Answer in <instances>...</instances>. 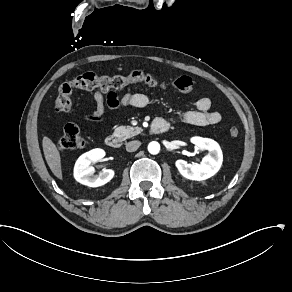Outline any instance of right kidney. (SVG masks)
Returning a JSON list of instances; mask_svg holds the SVG:
<instances>
[{"instance_id": "obj_1", "label": "right kidney", "mask_w": 292, "mask_h": 292, "mask_svg": "<svg viewBox=\"0 0 292 292\" xmlns=\"http://www.w3.org/2000/svg\"><path fill=\"white\" fill-rule=\"evenodd\" d=\"M104 156L105 151L99 148L92 149L81 155L74 166V178L79 183L89 187H98L109 182L114 176L113 170L103 169L99 175H94L95 169L90 166L91 163L102 161Z\"/></svg>"}]
</instances>
